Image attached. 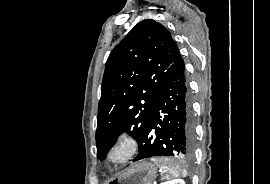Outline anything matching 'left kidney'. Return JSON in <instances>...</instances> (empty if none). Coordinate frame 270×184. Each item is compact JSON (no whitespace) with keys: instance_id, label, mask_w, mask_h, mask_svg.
<instances>
[{"instance_id":"obj_1","label":"left kidney","mask_w":270,"mask_h":184,"mask_svg":"<svg viewBox=\"0 0 270 184\" xmlns=\"http://www.w3.org/2000/svg\"><path fill=\"white\" fill-rule=\"evenodd\" d=\"M166 184H185V182L182 179H174L172 181H168Z\"/></svg>"}]
</instances>
